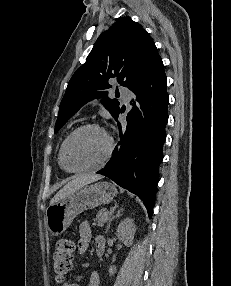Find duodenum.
I'll list each match as a JSON object with an SVG mask.
<instances>
[{
    "mask_svg": "<svg viewBox=\"0 0 231 286\" xmlns=\"http://www.w3.org/2000/svg\"><path fill=\"white\" fill-rule=\"evenodd\" d=\"M104 241L103 240H101V241H99L98 242V244H97V253H98V255H102L103 254V251H104Z\"/></svg>",
    "mask_w": 231,
    "mask_h": 286,
    "instance_id": "410a0bca",
    "label": "duodenum"
}]
</instances>
